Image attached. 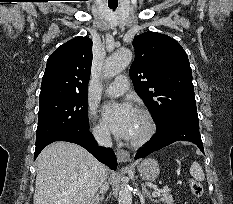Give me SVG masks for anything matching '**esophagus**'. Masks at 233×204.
<instances>
[{
  "label": "esophagus",
  "instance_id": "1",
  "mask_svg": "<svg viewBox=\"0 0 233 204\" xmlns=\"http://www.w3.org/2000/svg\"><path fill=\"white\" fill-rule=\"evenodd\" d=\"M116 156H117L118 162L120 163L129 162L131 160L130 153L126 150L118 149L116 151Z\"/></svg>",
  "mask_w": 233,
  "mask_h": 204
}]
</instances>
